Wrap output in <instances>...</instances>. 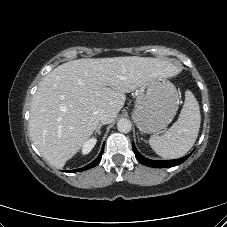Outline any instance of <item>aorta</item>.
Returning a JSON list of instances; mask_svg holds the SVG:
<instances>
[{
    "mask_svg": "<svg viewBox=\"0 0 227 227\" xmlns=\"http://www.w3.org/2000/svg\"><path fill=\"white\" fill-rule=\"evenodd\" d=\"M131 128L132 124L128 119L122 118L117 122V129L121 133H128L131 131Z\"/></svg>",
    "mask_w": 227,
    "mask_h": 227,
    "instance_id": "aorta-1",
    "label": "aorta"
}]
</instances>
